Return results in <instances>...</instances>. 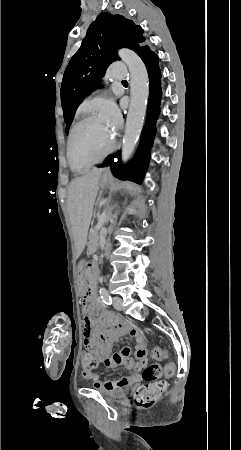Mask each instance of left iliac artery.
Here are the masks:
<instances>
[{"instance_id":"1","label":"left iliac artery","mask_w":241,"mask_h":450,"mask_svg":"<svg viewBox=\"0 0 241 450\" xmlns=\"http://www.w3.org/2000/svg\"><path fill=\"white\" fill-rule=\"evenodd\" d=\"M100 295L101 298L103 300V302L107 305H111L112 304V298L110 296V293L108 292V290L106 288H101L100 289Z\"/></svg>"}]
</instances>
